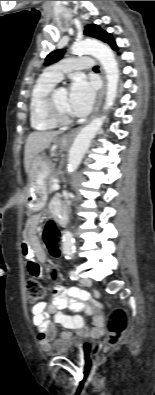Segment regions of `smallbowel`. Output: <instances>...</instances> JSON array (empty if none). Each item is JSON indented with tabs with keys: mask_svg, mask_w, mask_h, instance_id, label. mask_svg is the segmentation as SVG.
I'll list each match as a JSON object with an SVG mask.
<instances>
[{
	"mask_svg": "<svg viewBox=\"0 0 155 395\" xmlns=\"http://www.w3.org/2000/svg\"><path fill=\"white\" fill-rule=\"evenodd\" d=\"M59 208H63L58 199L52 200L50 210L53 213ZM38 217H34L30 222L27 230V237L22 242L21 251L27 260V268L29 274L43 282L44 274L39 262L46 261V255L42 248L38 245L34 238L37 229ZM88 298L87 293L79 288L66 289L58 286L53 291V299L50 304L39 302L35 304L31 312L33 314V324L37 327V339L40 346L47 350L51 347V343L56 335V326L61 325L67 330L62 332L61 339H69L72 337L70 330H74L81 337L99 336L102 332L103 317L107 313L106 305L101 304L99 300L93 302H85ZM99 307L100 313L97 311ZM69 308L74 312L85 311L92 315V328L89 329L85 325L84 318L80 315H67L63 310ZM53 319H50V316Z\"/></svg>",
	"mask_w": 155,
	"mask_h": 395,
	"instance_id": "c3829d8e",
	"label": "small bowel"
}]
</instances>
